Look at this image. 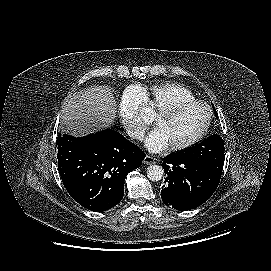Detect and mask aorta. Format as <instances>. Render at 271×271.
Returning <instances> with one entry per match:
<instances>
[{"instance_id": "aorta-1", "label": "aorta", "mask_w": 271, "mask_h": 271, "mask_svg": "<svg viewBox=\"0 0 271 271\" xmlns=\"http://www.w3.org/2000/svg\"><path fill=\"white\" fill-rule=\"evenodd\" d=\"M164 170L159 165H151L147 168V177L151 181H159L162 179Z\"/></svg>"}]
</instances>
